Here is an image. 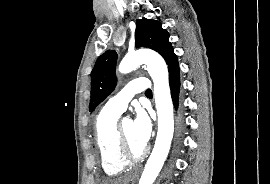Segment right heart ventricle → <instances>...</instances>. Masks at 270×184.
Returning <instances> with one entry per match:
<instances>
[{
    "mask_svg": "<svg viewBox=\"0 0 270 184\" xmlns=\"http://www.w3.org/2000/svg\"><path fill=\"white\" fill-rule=\"evenodd\" d=\"M119 115V112L105 106L98 114L95 123V137L101 166L109 176L120 174L128 166L118 153L116 126Z\"/></svg>",
    "mask_w": 270,
    "mask_h": 184,
    "instance_id": "obj_1",
    "label": "right heart ventricle"
}]
</instances>
